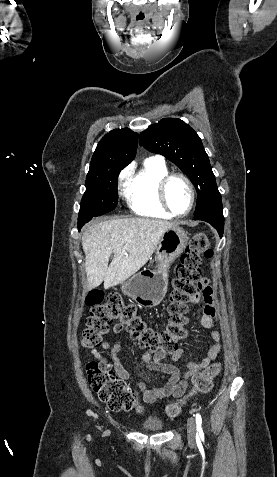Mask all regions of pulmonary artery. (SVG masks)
Returning <instances> with one entry per match:
<instances>
[{"mask_svg": "<svg viewBox=\"0 0 277 477\" xmlns=\"http://www.w3.org/2000/svg\"><path fill=\"white\" fill-rule=\"evenodd\" d=\"M152 159H156V160H160V161H162L161 157H159V156L152 157Z\"/></svg>", "mask_w": 277, "mask_h": 477, "instance_id": "1", "label": "pulmonary artery"}]
</instances>
